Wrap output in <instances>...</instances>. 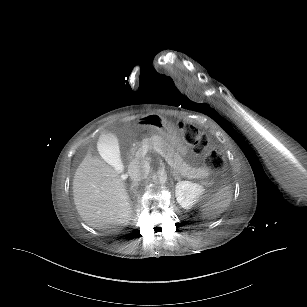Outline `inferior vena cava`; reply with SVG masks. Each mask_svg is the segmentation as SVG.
<instances>
[{
    "label": "inferior vena cava",
    "mask_w": 307,
    "mask_h": 307,
    "mask_svg": "<svg viewBox=\"0 0 307 307\" xmlns=\"http://www.w3.org/2000/svg\"><path fill=\"white\" fill-rule=\"evenodd\" d=\"M128 174L133 181H140L148 174L146 167L138 160H132L128 165Z\"/></svg>",
    "instance_id": "602c4592"
}]
</instances>
